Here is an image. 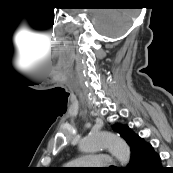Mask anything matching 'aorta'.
I'll return each mask as SVG.
<instances>
[{"label": "aorta", "mask_w": 173, "mask_h": 173, "mask_svg": "<svg viewBox=\"0 0 173 173\" xmlns=\"http://www.w3.org/2000/svg\"><path fill=\"white\" fill-rule=\"evenodd\" d=\"M80 149L85 153L108 149L122 165H127L130 161L131 152L128 144L118 135L110 132L90 134L82 140Z\"/></svg>", "instance_id": "obj_1"}]
</instances>
